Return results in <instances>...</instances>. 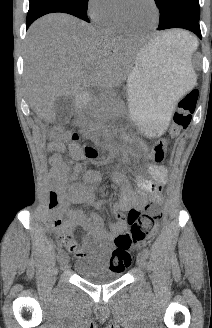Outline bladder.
Returning a JSON list of instances; mask_svg holds the SVG:
<instances>
[{
  "label": "bladder",
  "mask_w": 212,
  "mask_h": 328,
  "mask_svg": "<svg viewBox=\"0 0 212 328\" xmlns=\"http://www.w3.org/2000/svg\"><path fill=\"white\" fill-rule=\"evenodd\" d=\"M76 273L85 281L103 285L115 282L123 276V270H103L94 260H80L75 264Z\"/></svg>",
  "instance_id": "31cf9c89"
}]
</instances>
